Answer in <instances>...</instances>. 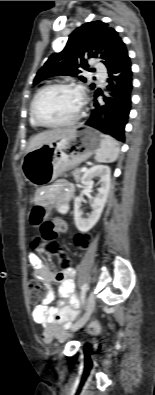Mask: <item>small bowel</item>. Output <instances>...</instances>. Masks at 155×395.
Here are the masks:
<instances>
[{"label": "small bowel", "mask_w": 155, "mask_h": 395, "mask_svg": "<svg viewBox=\"0 0 155 395\" xmlns=\"http://www.w3.org/2000/svg\"><path fill=\"white\" fill-rule=\"evenodd\" d=\"M73 186L66 181H57L43 187L38 192V204L43 208L57 205L61 209H66L73 195ZM59 231L66 229L63 220L52 221ZM29 263L33 270V275L41 282L46 290V296L40 305H37L32 313L35 323L44 327L42 340L50 343L53 339L62 341L66 338V330L71 321L76 316L78 300L74 295L75 272H64V269L57 271L53 267L46 265L42 258L29 253ZM53 284H58V294L67 301L57 307H49L54 300Z\"/></svg>", "instance_id": "obj_1"}]
</instances>
